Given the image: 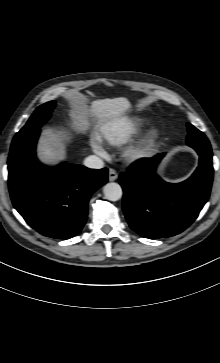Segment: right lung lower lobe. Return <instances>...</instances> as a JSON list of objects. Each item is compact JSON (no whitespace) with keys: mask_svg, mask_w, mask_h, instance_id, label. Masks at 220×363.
<instances>
[{"mask_svg":"<svg viewBox=\"0 0 220 363\" xmlns=\"http://www.w3.org/2000/svg\"><path fill=\"white\" fill-rule=\"evenodd\" d=\"M37 129L12 143L8 158V184L16 210L44 236L69 239L86 222L88 201L107 182L108 170L65 163L52 169L35 157Z\"/></svg>","mask_w":220,"mask_h":363,"instance_id":"1","label":"right lung lower lobe"}]
</instances>
